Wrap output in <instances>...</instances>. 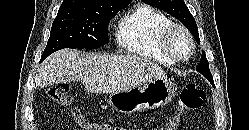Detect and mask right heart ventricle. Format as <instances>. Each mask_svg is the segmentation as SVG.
<instances>
[{
	"instance_id": "right-heart-ventricle-1",
	"label": "right heart ventricle",
	"mask_w": 249,
	"mask_h": 130,
	"mask_svg": "<svg viewBox=\"0 0 249 130\" xmlns=\"http://www.w3.org/2000/svg\"><path fill=\"white\" fill-rule=\"evenodd\" d=\"M171 23L170 18L163 12L140 3L121 17L115 39L118 46L130 54L172 65L174 62L160 47L161 34Z\"/></svg>"
}]
</instances>
